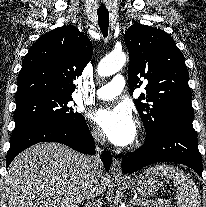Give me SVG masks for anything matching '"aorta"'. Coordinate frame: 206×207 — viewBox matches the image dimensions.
Returning a JSON list of instances; mask_svg holds the SVG:
<instances>
[{"instance_id":"aorta-1","label":"aorta","mask_w":206,"mask_h":207,"mask_svg":"<svg viewBox=\"0 0 206 207\" xmlns=\"http://www.w3.org/2000/svg\"><path fill=\"white\" fill-rule=\"evenodd\" d=\"M127 57L123 52H112L104 57L98 65L100 76H110L117 73L126 63Z\"/></svg>"}]
</instances>
